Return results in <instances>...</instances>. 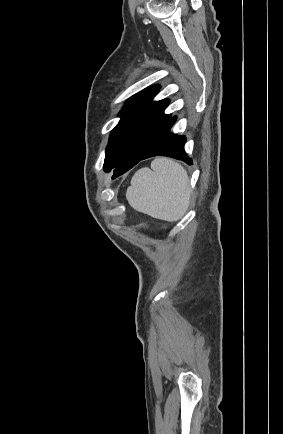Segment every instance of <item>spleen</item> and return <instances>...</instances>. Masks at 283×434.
<instances>
[{
  "instance_id": "spleen-1",
  "label": "spleen",
  "mask_w": 283,
  "mask_h": 434,
  "mask_svg": "<svg viewBox=\"0 0 283 434\" xmlns=\"http://www.w3.org/2000/svg\"><path fill=\"white\" fill-rule=\"evenodd\" d=\"M126 198L137 211L174 222L186 212L190 200L186 170L167 158H156L151 169L138 170L127 189Z\"/></svg>"
}]
</instances>
